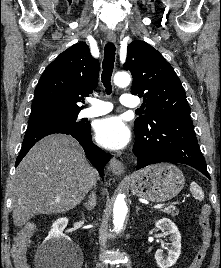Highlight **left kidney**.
<instances>
[{
    "mask_svg": "<svg viewBox=\"0 0 221 268\" xmlns=\"http://www.w3.org/2000/svg\"><path fill=\"white\" fill-rule=\"evenodd\" d=\"M155 226L161 231L169 235L170 249L165 254L162 249H158L155 253L157 265L160 268L172 267L181 254V234L177 226L168 218H162L155 222Z\"/></svg>",
    "mask_w": 221,
    "mask_h": 268,
    "instance_id": "left-kidney-1",
    "label": "left kidney"
}]
</instances>
